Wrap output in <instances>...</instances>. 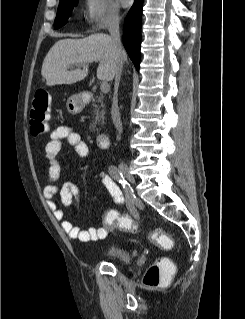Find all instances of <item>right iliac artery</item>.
Segmentation results:
<instances>
[{"mask_svg": "<svg viewBox=\"0 0 245 319\" xmlns=\"http://www.w3.org/2000/svg\"><path fill=\"white\" fill-rule=\"evenodd\" d=\"M109 174L111 175V177L118 181L119 183L122 184L123 188L125 189V196H126V204L128 206V208L130 209L131 212L135 213V208H134V204H133V199H134V194H133V190L130 187V185L128 186L126 180L124 179L123 174L121 173V171L114 165H111L109 167ZM113 189L114 190V194L116 196H118L119 201H124V197L122 196V192L119 189V187L113 182ZM112 194V192H111ZM113 195V194H112Z\"/></svg>", "mask_w": 245, "mask_h": 319, "instance_id": "right-iliac-artery-1", "label": "right iliac artery"}]
</instances>
